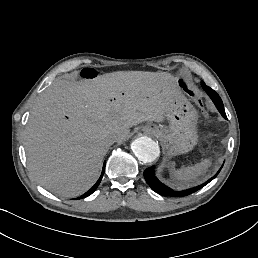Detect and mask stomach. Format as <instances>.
Here are the masks:
<instances>
[{"mask_svg":"<svg viewBox=\"0 0 258 258\" xmlns=\"http://www.w3.org/2000/svg\"><path fill=\"white\" fill-rule=\"evenodd\" d=\"M175 94L164 107L168 125L149 124L143 131L154 135L168 158L188 154L198 144V110L186 98L179 81Z\"/></svg>","mask_w":258,"mask_h":258,"instance_id":"0dacf381","label":"stomach"}]
</instances>
